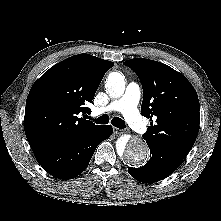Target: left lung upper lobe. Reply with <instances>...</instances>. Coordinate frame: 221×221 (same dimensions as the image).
<instances>
[{"label":"left lung upper lobe","instance_id":"left-lung-upper-lobe-1","mask_svg":"<svg viewBox=\"0 0 221 221\" xmlns=\"http://www.w3.org/2000/svg\"><path fill=\"white\" fill-rule=\"evenodd\" d=\"M124 64L141 80L142 115L155 119L143 138L147 144L185 158L199 131V100L195 89L182 74L160 62L134 58Z\"/></svg>","mask_w":221,"mask_h":221}]
</instances>
